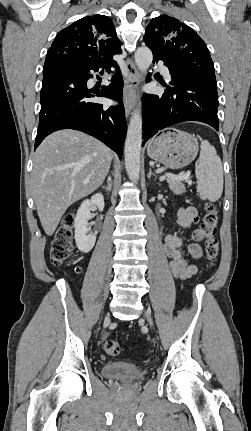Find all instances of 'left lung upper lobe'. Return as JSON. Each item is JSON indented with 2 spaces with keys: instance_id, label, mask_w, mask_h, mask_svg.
Here are the masks:
<instances>
[{
  "instance_id": "left-lung-upper-lobe-1",
  "label": "left lung upper lobe",
  "mask_w": 251,
  "mask_h": 431,
  "mask_svg": "<svg viewBox=\"0 0 251 431\" xmlns=\"http://www.w3.org/2000/svg\"><path fill=\"white\" fill-rule=\"evenodd\" d=\"M144 41L154 57L168 59L180 70L215 71L204 41L176 18L167 15L153 18L146 27Z\"/></svg>"
}]
</instances>
